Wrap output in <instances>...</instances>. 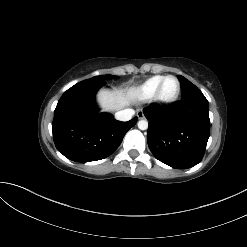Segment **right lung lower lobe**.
Returning a JSON list of instances; mask_svg holds the SVG:
<instances>
[{"mask_svg": "<svg viewBox=\"0 0 247 247\" xmlns=\"http://www.w3.org/2000/svg\"><path fill=\"white\" fill-rule=\"evenodd\" d=\"M104 84V80L79 82L58 101L52 123L53 139L56 148L70 160L90 162L108 157L137 122V117L121 122L109 113H99L95 94Z\"/></svg>", "mask_w": 247, "mask_h": 247, "instance_id": "obj_1", "label": "right lung lower lobe"}]
</instances>
